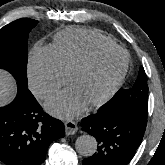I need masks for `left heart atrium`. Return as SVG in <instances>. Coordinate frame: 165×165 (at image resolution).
Returning <instances> with one entry per match:
<instances>
[{
    "label": "left heart atrium",
    "mask_w": 165,
    "mask_h": 165,
    "mask_svg": "<svg viewBox=\"0 0 165 165\" xmlns=\"http://www.w3.org/2000/svg\"><path fill=\"white\" fill-rule=\"evenodd\" d=\"M86 104L79 92L71 87L50 97L46 108L58 117L71 118L83 111Z\"/></svg>",
    "instance_id": "obj_1"
}]
</instances>
